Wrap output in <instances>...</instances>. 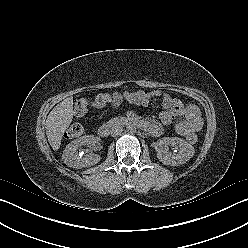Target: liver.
I'll list each match as a JSON object with an SVG mask.
<instances>
[{
  "instance_id": "liver-1",
  "label": "liver",
  "mask_w": 248,
  "mask_h": 248,
  "mask_svg": "<svg viewBox=\"0 0 248 248\" xmlns=\"http://www.w3.org/2000/svg\"><path fill=\"white\" fill-rule=\"evenodd\" d=\"M73 119V98L64 99L49 113L45 128L50 146L58 150L61 145L63 133L69 127Z\"/></svg>"
}]
</instances>
